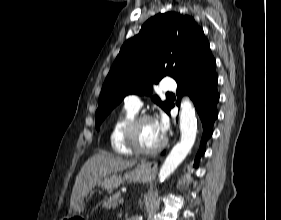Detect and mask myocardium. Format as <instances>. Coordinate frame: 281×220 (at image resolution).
<instances>
[{
  "instance_id": "f54148a6",
  "label": "myocardium",
  "mask_w": 281,
  "mask_h": 220,
  "mask_svg": "<svg viewBox=\"0 0 281 220\" xmlns=\"http://www.w3.org/2000/svg\"><path fill=\"white\" fill-rule=\"evenodd\" d=\"M147 120L154 121L153 117L147 114H140L134 116L125 126L122 134L123 142L125 146L136 154H154L159 152L166 144V140L163 139L160 144L153 148H143L141 147L136 138V133L139 125Z\"/></svg>"
}]
</instances>
